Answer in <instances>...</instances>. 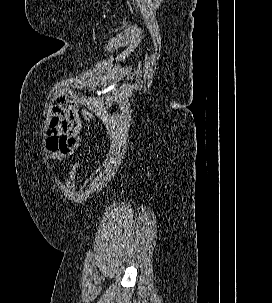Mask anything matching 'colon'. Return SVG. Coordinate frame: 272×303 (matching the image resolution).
Instances as JSON below:
<instances>
[{"mask_svg":"<svg viewBox=\"0 0 272 303\" xmlns=\"http://www.w3.org/2000/svg\"><path fill=\"white\" fill-rule=\"evenodd\" d=\"M82 113L86 121H91L94 118L93 113L88 109H84ZM78 168H79V164L77 163L70 170L68 184L71 188L75 186V180L78 173Z\"/></svg>","mask_w":272,"mask_h":303,"instance_id":"colon-1","label":"colon"}]
</instances>
